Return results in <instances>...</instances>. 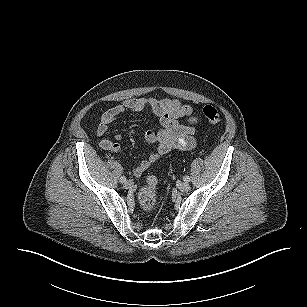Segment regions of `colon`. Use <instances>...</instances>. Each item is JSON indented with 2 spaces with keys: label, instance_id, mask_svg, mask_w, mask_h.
<instances>
[{
  "label": "colon",
  "instance_id": "colon-1",
  "mask_svg": "<svg viewBox=\"0 0 307 307\" xmlns=\"http://www.w3.org/2000/svg\"><path fill=\"white\" fill-rule=\"evenodd\" d=\"M203 114L210 124H217L220 121V113L213 105H206L203 108ZM157 180L153 176L147 178V184L142 187L138 194V202L145 211L153 210L159 200L156 189Z\"/></svg>",
  "mask_w": 307,
  "mask_h": 307
}]
</instances>
